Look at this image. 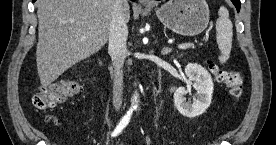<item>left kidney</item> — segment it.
Segmentation results:
<instances>
[{
	"label": "left kidney",
	"instance_id": "5707ae66",
	"mask_svg": "<svg viewBox=\"0 0 276 145\" xmlns=\"http://www.w3.org/2000/svg\"><path fill=\"white\" fill-rule=\"evenodd\" d=\"M185 74L196 90V99L191 104L186 101L185 95L191 91V87H179L174 93V104L178 111L188 118L202 115L210 106L214 84L209 72L196 63H189L185 67Z\"/></svg>",
	"mask_w": 276,
	"mask_h": 145
}]
</instances>
